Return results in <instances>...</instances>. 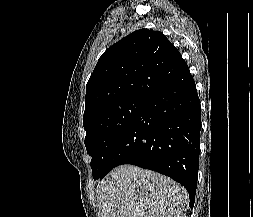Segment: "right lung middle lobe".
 I'll return each mask as SVG.
<instances>
[{"instance_id": "1", "label": "right lung middle lobe", "mask_w": 253, "mask_h": 217, "mask_svg": "<svg viewBox=\"0 0 253 217\" xmlns=\"http://www.w3.org/2000/svg\"><path fill=\"white\" fill-rule=\"evenodd\" d=\"M149 98L128 97L98 110L84 122L85 146L92 157L94 180L105 172L107 159L115 144L145 106Z\"/></svg>"}]
</instances>
